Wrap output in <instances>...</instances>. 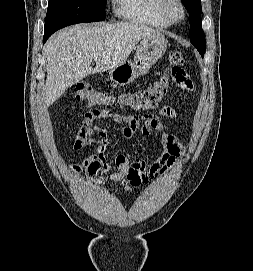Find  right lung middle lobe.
I'll return each instance as SVG.
<instances>
[{
  "label": "right lung middle lobe",
  "instance_id": "obj_1",
  "mask_svg": "<svg viewBox=\"0 0 253 271\" xmlns=\"http://www.w3.org/2000/svg\"><path fill=\"white\" fill-rule=\"evenodd\" d=\"M105 0H49L44 34L65 26L105 19Z\"/></svg>",
  "mask_w": 253,
  "mask_h": 271
}]
</instances>
